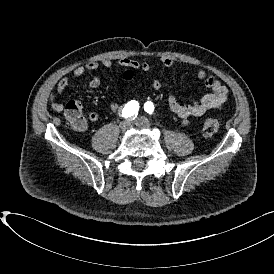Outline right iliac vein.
Wrapping results in <instances>:
<instances>
[{
    "mask_svg": "<svg viewBox=\"0 0 274 274\" xmlns=\"http://www.w3.org/2000/svg\"><path fill=\"white\" fill-rule=\"evenodd\" d=\"M131 127H132L131 120H126V121L120 123V129H121L122 133H126Z\"/></svg>",
    "mask_w": 274,
    "mask_h": 274,
    "instance_id": "1",
    "label": "right iliac vein"
}]
</instances>
